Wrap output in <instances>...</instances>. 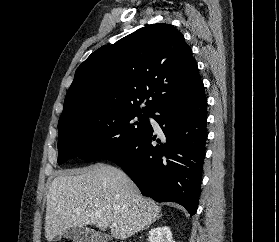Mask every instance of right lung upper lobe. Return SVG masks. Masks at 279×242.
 <instances>
[{"label": "right lung upper lobe", "mask_w": 279, "mask_h": 242, "mask_svg": "<svg viewBox=\"0 0 279 242\" xmlns=\"http://www.w3.org/2000/svg\"><path fill=\"white\" fill-rule=\"evenodd\" d=\"M201 87L183 34L170 24H153L102 46L77 68L58 125L127 110L153 113ZM145 99L148 106L141 109Z\"/></svg>", "instance_id": "right-lung-upper-lobe-1"}]
</instances>
